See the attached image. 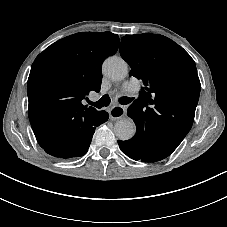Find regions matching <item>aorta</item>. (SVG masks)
<instances>
[{"instance_id":"762f6f07","label":"aorta","mask_w":227,"mask_h":227,"mask_svg":"<svg viewBox=\"0 0 227 227\" xmlns=\"http://www.w3.org/2000/svg\"><path fill=\"white\" fill-rule=\"evenodd\" d=\"M102 72L113 81L123 80L128 75V65L122 58L112 56L104 61ZM114 132L120 140H129L135 135L136 126L130 119H120L115 123Z\"/></svg>"}]
</instances>
